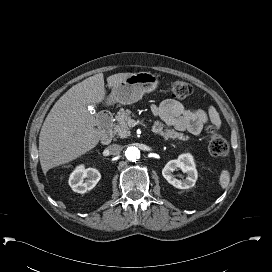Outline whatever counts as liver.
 <instances>
[{
    "instance_id": "liver-1",
    "label": "liver",
    "mask_w": 272,
    "mask_h": 272,
    "mask_svg": "<svg viewBox=\"0 0 272 272\" xmlns=\"http://www.w3.org/2000/svg\"><path fill=\"white\" fill-rule=\"evenodd\" d=\"M133 73H117L107 78L109 88ZM106 95L102 73L95 74L70 88L54 104L39 135V159L42 170L66 164L92 150L101 132L87 107L101 103Z\"/></svg>"
}]
</instances>
